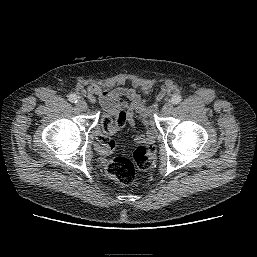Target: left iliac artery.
Returning <instances> with one entry per match:
<instances>
[{
    "label": "left iliac artery",
    "instance_id": "left-iliac-artery-1",
    "mask_svg": "<svg viewBox=\"0 0 257 257\" xmlns=\"http://www.w3.org/2000/svg\"><path fill=\"white\" fill-rule=\"evenodd\" d=\"M182 101V97L180 95H174L172 97V103L173 104H179Z\"/></svg>",
    "mask_w": 257,
    "mask_h": 257
}]
</instances>
